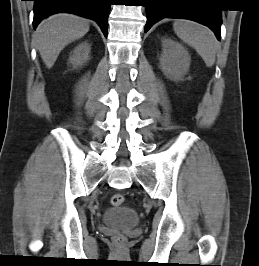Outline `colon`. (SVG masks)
Returning <instances> with one entry per match:
<instances>
[{"mask_svg": "<svg viewBox=\"0 0 259 266\" xmlns=\"http://www.w3.org/2000/svg\"><path fill=\"white\" fill-rule=\"evenodd\" d=\"M110 202L114 207L121 206L124 203V196L120 193L114 194ZM114 243L118 248H122L126 244V238L122 235H117L114 237Z\"/></svg>", "mask_w": 259, "mask_h": 266, "instance_id": "1", "label": "colon"}]
</instances>
